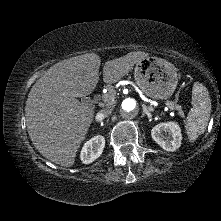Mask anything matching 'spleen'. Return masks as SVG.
I'll return each instance as SVG.
<instances>
[{"instance_id":"spleen-1","label":"spleen","mask_w":221,"mask_h":221,"mask_svg":"<svg viewBox=\"0 0 221 221\" xmlns=\"http://www.w3.org/2000/svg\"><path fill=\"white\" fill-rule=\"evenodd\" d=\"M192 105L185 122V129L190 142L193 143L199 135L204 133L211 113L208 90L199 82H195L193 85Z\"/></svg>"}]
</instances>
